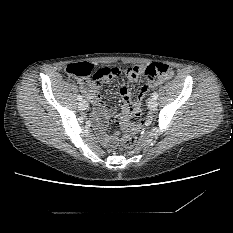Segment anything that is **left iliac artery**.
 Segmentation results:
<instances>
[{"instance_id": "44dca946", "label": "left iliac artery", "mask_w": 233, "mask_h": 233, "mask_svg": "<svg viewBox=\"0 0 233 233\" xmlns=\"http://www.w3.org/2000/svg\"><path fill=\"white\" fill-rule=\"evenodd\" d=\"M152 98L156 100L158 98V93L157 92L153 93Z\"/></svg>"}]
</instances>
